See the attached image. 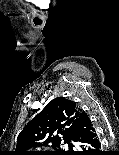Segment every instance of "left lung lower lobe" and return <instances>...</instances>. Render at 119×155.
Listing matches in <instances>:
<instances>
[{"label":"left lung lower lobe","mask_w":119,"mask_h":155,"mask_svg":"<svg viewBox=\"0 0 119 155\" xmlns=\"http://www.w3.org/2000/svg\"><path fill=\"white\" fill-rule=\"evenodd\" d=\"M73 141L82 151L76 155H104L94 124L83 111H80Z\"/></svg>","instance_id":"0a47b994"}]
</instances>
